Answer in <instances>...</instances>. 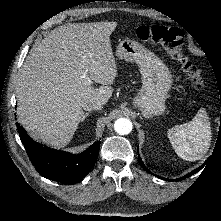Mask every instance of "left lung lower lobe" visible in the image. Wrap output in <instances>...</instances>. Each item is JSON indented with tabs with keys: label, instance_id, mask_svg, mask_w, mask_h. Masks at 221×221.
Listing matches in <instances>:
<instances>
[{
	"label": "left lung lower lobe",
	"instance_id": "left-lung-lower-lobe-1",
	"mask_svg": "<svg viewBox=\"0 0 221 221\" xmlns=\"http://www.w3.org/2000/svg\"><path fill=\"white\" fill-rule=\"evenodd\" d=\"M138 159H139V162H140V164L142 165V167H143L147 172L151 173V172L144 166V164H143L141 158H138ZM202 168H203V166H201V167L195 169L194 171H192L191 173L185 175L184 177H181V178H179V179H176L175 181L183 180V179H185V178H187V177L193 175L194 173L198 172V171H199L200 169H202ZM151 174H153V173H151ZM154 175H155V174H154ZM155 176H157V175H155ZM157 177H159V176H157ZM159 178L164 179L163 177H159Z\"/></svg>",
	"mask_w": 221,
	"mask_h": 221
}]
</instances>
